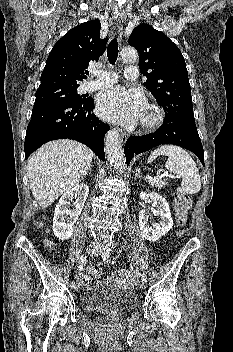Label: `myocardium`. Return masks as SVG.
I'll return each instance as SVG.
<instances>
[{
	"label": "myocardium",
	"instance_id": "1",
	"mask_svg": "<svg viewBox=\"0 0 233 352\" xmlns=\"http://www.w3.org/2000/svg\"><path fill=\"white\" fill-rule=\"evenodd\" d=\"M163 120V113L155 104H149L146 107L142 117V126L146 129H151L159 125Z\"/></svg>",
	"mask_w": 233,
	"mask_h": 352
}]
</instances>
